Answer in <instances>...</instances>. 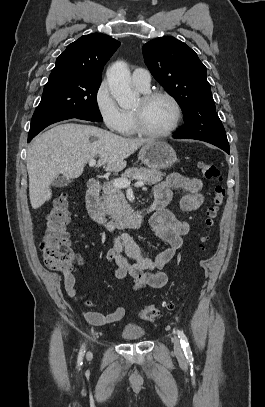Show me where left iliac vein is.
<instances>
[{
    "mask_svg": "<svg viewBox=\"0 0 265 407\" xmlns=\"http://www.w3.org/2000/svg\"><path fill=\"white\" fill-rule=\"evenodd\" d=\"M172 342L174 345V351L179 358H184L182 346L178 337H172Z\"/></svg>",
    "mask_w": 265,
    "mask_h": 407,
    "instance_id": "left-iliac-vein-1",
    "label": "left iliac vein"
}]
</instances>
